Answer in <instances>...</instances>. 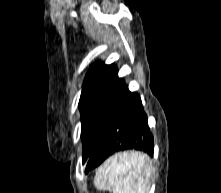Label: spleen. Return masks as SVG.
I'll use <instances>...</instances> for the list:
<instances>
[{
  "label": "spleen",
  "mask_w": 221,
  "mask_h": 193,
  "mask_svg": "<svg viewBox=\"0 0 221 193\" xmlns=\"http://www.w3.org/2000/svg\"><path fill=\"white\" fill-rule=\"evenodd\" d=\"M150 176L151 165L146 154L122 152L97 169L94 186L112 193H148Z\"/></svg>",
  "instance_id": "obj_1"
}]
</instances>
